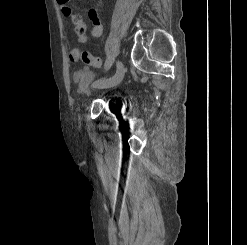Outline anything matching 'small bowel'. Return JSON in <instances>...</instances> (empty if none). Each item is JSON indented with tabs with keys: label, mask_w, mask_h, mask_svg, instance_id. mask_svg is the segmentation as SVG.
<instances>
[{
	"label": "small bowel",
	"mask_w": 247,
	"mask_h": 245,
	"mask_svg": "<svg viewBox=\"0 0 247 245\" xmlns=\"http://www.w3.org/2000/svg\"><path fill=\"white\" fill-rule=\"evenodd\" d=\"M58 5L65 17H70L72 15V10L67 6L68 0H57ZM88 17L93 24V28L90 33L91 38H97L102 34V23L98 16L97 11L94 8H89L87 11ZM69 59L72 62H81L82 64L89 65L92 67H100L101 59L91 53L84 51L79 48H74L69 53Z\"/></svg>",
	"instance_id": "c3829d8e"
}]
</instances>
